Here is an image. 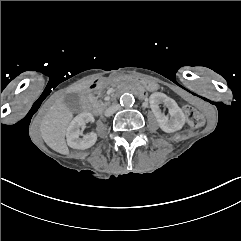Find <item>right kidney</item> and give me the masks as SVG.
Returning a JSON list of instances; mask_svg holds the SVG:
<instances>
[{
    "label": "right kidney",
    "instance_id": "right-kidney-1",
    "mask_svg": "<svg viewBox=\"0 0 241 241\" xmlns=\"http://www.w3.org/2000/svg\"><path fill=\"white\" fill-rule=\"evenodd\" d=\"M88 122H94V117L91 113H81L77 115L67 128L66 138L67 144L74 149H87L93 146L97 140V134L91 132L80 138V128Z\"/></svg>",
    "mask_w": 241,
    "mask_h": 241
}]
</instances>
